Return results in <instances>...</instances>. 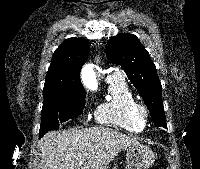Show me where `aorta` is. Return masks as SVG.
<instances>
[{"instance_id":"1","label":"aorta","mask_w":200,"mask_h":169,"mask_svg":"<svg viewBox=\"0 0 200 169\" xmlns=\"http://www.w3.org/2000/svg\"><path fill=\"white\" fill-rule=\"evenodd\" d=\"M81 75H82L83 82L89 88L94 89L97 87L95 72H94L91 64L85 65L83 67Z\"/></svg>"}]
</instances>
